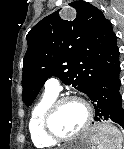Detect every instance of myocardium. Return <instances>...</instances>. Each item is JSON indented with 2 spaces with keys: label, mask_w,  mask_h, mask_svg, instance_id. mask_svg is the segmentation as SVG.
Returning <instances> with one entry per match:
<instances>
[{
  "label": "myocardium",
  "mask_w": 124,
  "mask_h": 149,
  "mask_svg": "<svg viewBox=\"0 0 124 149\" xmlns=\"http://www.w3.org/2000/svg\"><path fill=\"white\" fill-rule=\"evenodd\" d=\"M70 101H78V102L82 103L86 108L87 117H86V121H85L84 125L82 126V128L80 130H78L77 132H75L71 135L62 136L54 130L53 120H54L55 114L58 111L59 107L62 104L66 103V102H70ZM93 115H94V110H93L91 103L88 100H86L82 97L73 96V95L58 97L51 103V105L48 107V109L44 115V119H43L44 132L49 138H51L52 140H54L56 142L71 141V140L81 136L82 134H84L90 128V126L93 122Z\"/></svg>",
  "instance_id": "f54148a6"
}]
</instances>
